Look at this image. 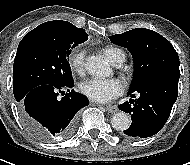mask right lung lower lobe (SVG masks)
Listing matches in <instances>:
<instances>
[{
	"mask_svg": "<svg viewBox=\"0 0 190 165\" xmlns=\"http://www.w3.org/2000/svg\"><path fill=\"white\" fill-rule=\"evenodd\" d=\"M66 85H40L29 91L18 104L21 119L28 130L39 140L51 142L57 137H69L77 122V112L89 104L82 94L69 90ZM69 88L62 99L61 89ZM65 93V92H64Z\"/></svg>",
	"mask_w": 190,
	"mask_h": 165,
	"instance_id": "98d812e1",
	"label": "right lung lower lobe"
}]
</instances>
